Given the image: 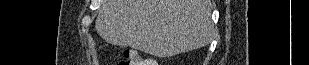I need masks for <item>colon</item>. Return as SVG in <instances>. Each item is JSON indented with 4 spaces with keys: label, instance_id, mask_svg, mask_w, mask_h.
<instances>
[{
    "label": "colon",
    "instance_id": "1",
    "mask_svg": "<svg viewBox=\"0 0 309 65\" xmlns=\"http://www.w3.org/2000/svg\"><path fill=\"white\" fill-rule=\"evenodd\" d=\"M150 62V63H148ZM154 61L143 59L135 50L126 52L125 57L120 61L119 65H154Z\"/></svg>",
    "mask_w": 309,
    "mask_h": 65
}]
</instances>
